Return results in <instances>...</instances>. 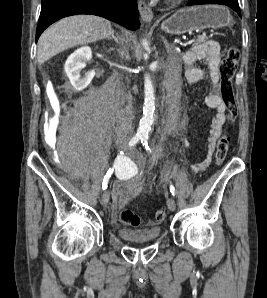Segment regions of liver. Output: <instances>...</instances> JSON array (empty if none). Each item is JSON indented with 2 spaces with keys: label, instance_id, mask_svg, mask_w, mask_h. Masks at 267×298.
<instances>
[{
  "label": "liver",
  "instance_id": "obj_1",
  "mask_svg": "<svg viewBox=\"0 0 267 298\" xmlns=\"http://www.w3.org/2000/svg\"><path fill=\"white\" fill-rule=\"evenodd\" d=\"M111 23L93 15H76L61 19L46 29L38 40L37 59L43 64L69 48L93 43L111 36Z\"/></svg>",
  "mask_w": 267,
  "mask_h": 298
}]
</instances>
